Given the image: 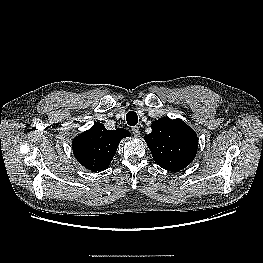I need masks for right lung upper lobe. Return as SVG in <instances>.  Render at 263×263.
<instances>
[{"label": "right lung upper lobe", "mask_w": 263, "mask_h": 263, "mask_svg": "<svg viewBox=\"0 0 263 263\" xmlns=\"http://www.w3.org/2000/svg\"><path fill=\"white\" fill-rule=\"evenodd\" d=\"M127 135L129 132L124 129L108 131L96 123L78 138V145L74 148L75 157L86 168L103 171L113 159L120 140Z\"/></svg>", "instance_id": "right-lung-upper-lobe-1"}]
</instances>
